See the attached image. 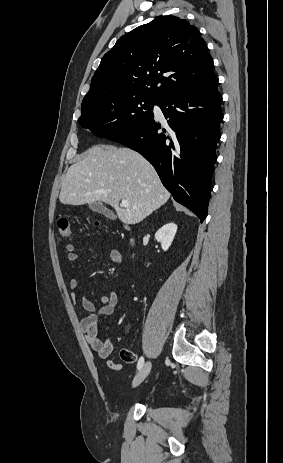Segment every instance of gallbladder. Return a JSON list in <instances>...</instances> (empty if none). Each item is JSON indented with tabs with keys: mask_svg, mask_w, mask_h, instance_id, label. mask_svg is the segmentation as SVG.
Returning a JSON list of instances; mask_svg holds the SVG:
<instances>
[{
	"mask_svg": "<svg viewBox=\"0 0 283 463\" xmlns=\"http://www.w3.org/2000/svg\"><path fill=\"white\" fill-rule=\"evenodd\" d=\"M88 205H89L90 210H92L93 212H97L100 214H104L108 217L115 218V215L113 214V212L108 210L101 202L89 203Z\"/></svg>",
	"mask_w": 283,
	"mask_h": 463,
	"instance_id": "obj_1",
	"label": "gallbladder"
}]
</instances>
